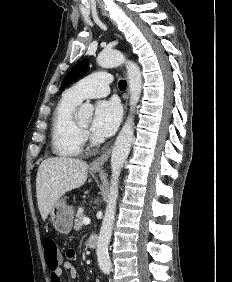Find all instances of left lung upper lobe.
Returning a JSON list of instances; mask_svg holds the SVG:
<instances>
[{
	"instance_id": "left-lung-upper-lobe-1",
	"label": "left lung upper lobe",
	"mask_w": 232,
	"mask_h": 282,
	"mask_svg": "<svg viewBox=\"0 0 232 282\" xmlns=\"http://www.w3.org/2000/svg\"><path fill=\"white\" fill-rule=\"evenodd\" d=\"M88 68V62L87 60H83L80 63L76 64L66 75L64 78L61 90L64 89L66 86H68L71 82H73L75 79L81 77Z\"/></svg>"
}]
</instances>
